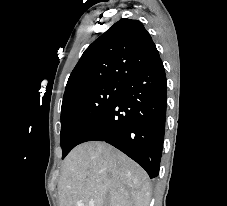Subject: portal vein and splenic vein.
Wrapping results in <instances>:
<instances>
[{
    "instance_id": "18ae733b",
    "label": "portal vein and splenic vein",
    "mask_w": 227,
    "mask_h": 206,
    "mask_svg": "<svg viewBox=\"0 0 227 206\" xmlns=\"http://www.w3.org/2000/svg\"><path fill=\"white\" fill-rule=\"evenodd\" d=\"M78 206H84L83 204H78ZM89 206H94V202H90Z\"/></svg>"
}]
</instances>
